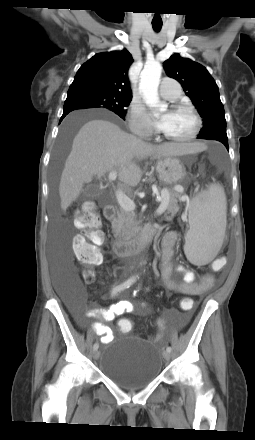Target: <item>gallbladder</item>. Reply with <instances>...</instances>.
<instances>
[{
	"label": "gallbladder",
	"mask_w": 255,
	"mask_h": 440,
	"mask_svg": "<svg viewBox=\"0 0 255 440\" xmlns=\"http://www.w3.org/2000/svg\"><path fill=\"white\" fill-rule=\"evenodd\" d=\"M99 186L94 183V184H89L87 185L84 190H83V196L85 197H93L95 196L98 192H99Z\"/></svg>",
	"instance_id": "obj_1"
}]
</instances>
